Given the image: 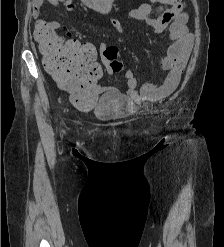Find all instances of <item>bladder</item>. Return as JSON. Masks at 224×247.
<instances>
[{
	"label": "bladder",
	"mask_w": 224,
	"mask_h": 247,
	"mask_svg": "<svg viewBox=\"0 0 224 247\" xmlns=\"http://www.w3.org/2000/svg\"><path fill=\"white\" fill-rule=\"evenodd\" d=\"M96 119L103 122H114L124 117L122 101L115 91L105 92L93 109Z\"/></svg>",
	"instance_id": "31cf9c89"
}]
</instances>
